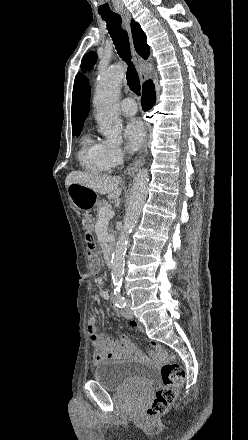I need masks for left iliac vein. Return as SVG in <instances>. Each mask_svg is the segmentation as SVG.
I'll return each instance as SVG.
<instances>
[{
    "label": "left iliac vein",
    "instance_id": "4c4485c4",
    "mask_svg": "<svg viewBox=\"0 0 248 440\" xmlns=\"http://www.w3.org/2000/svg\"><path fill=\"white\" fill-rule=\"evenodd\" d=\"M127 305L122 309V315L125 318H131L133 316L132 311H131V300L127 299Z\"/></svg>",
    "mask_w": 248,
    "mask_h": 440
}]
</instances>
